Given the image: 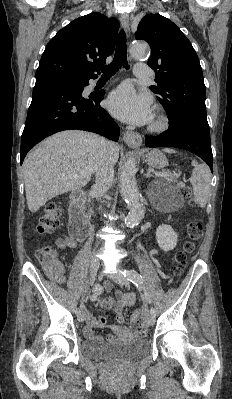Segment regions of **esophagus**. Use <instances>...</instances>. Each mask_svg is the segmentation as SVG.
I'll return each instance as SVG.
<instances>
[{
	"mask_svg": "<svg viewBox=\"0 0 232 399\" xmlns=\"http://www.w3.org/2000/svg\"><path fill=\"white\" fill-rule=\"evenodd\" d=\"M120 20L125 29V32L127 33L128 38H129L130 22H129L128 13H121ZM123 140H124L125 144H127L129 147H132V148H138L142 144V136L140 134H138L137 132H133V131L125 132L123 134Z\"/></svg>",
	"mask_w": 232,
	"mask_h": 399,
	"instance_id": "obj_1",
	"label": "esophagus"
}]
</instances>
